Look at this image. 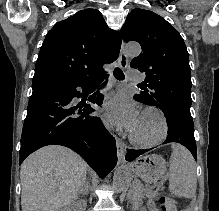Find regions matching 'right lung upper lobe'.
Listing matches in <instances>:
<instances>
[{
    "mask_svg": "<svg viewBox=\"0 0 219 211\" xmlns=\"http://www.w3.org/2000/svg\"><path fill=\"white\" fill-rule=\"evenodd\" d=\"M121 35L108 28L96 9H84L58 22L46 35L32 82L91 80L119 54Z\"/></svg>",
    "mask_w": 219,
    "mask_h": 211,
    "instance_id": "cb5924a9",
    "label": "right lung upper lobe"
}]
</instances>
